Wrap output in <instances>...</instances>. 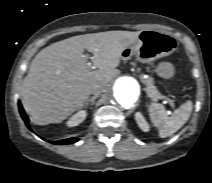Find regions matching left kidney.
I'll use <instances>...</instances> for the list:
<instances>
[{"label":"left kidney","instance_id":"left-kidney-1","mask_svg":"<svg viewBox=\"0 0 212 183\" xmlns=\"http://www.w3.org/2000/svg\"><path fill=\"white\" fill-rule=\"evenodd\" d=\"M135 120L142 131L148 132L150 130L149 124L147 123L141 112L135 113Z\"/></svg>","mask_w":212,"mask_h":183}]
</instances>
